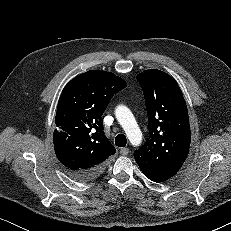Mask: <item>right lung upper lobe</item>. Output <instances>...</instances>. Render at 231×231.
I'll return each mask as SVG.
<instances>
[{"mask_svg": "<svg viewBox=\"0 0 231 231\" xmlns=\"http://www.w3.org/2000/svg\"><path fill=\"white\" fill-rule=\"evenodd\" d=\"M126 86L110 72L91 70L63 89L53 139L56 156L69 172L103 168L116 152L104 135L101 116L114 94Z\"/></svg>", "mask_w": 231, "mask_h": 231, "instance_id": "cb5924a9", "label": "right lung upper lobe"}]
</instances>
